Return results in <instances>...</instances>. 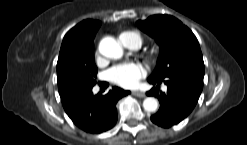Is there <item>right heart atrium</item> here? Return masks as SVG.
Instances as JSON below:
<instances>
[{
  "instance_id": "obj_1",
  "label": "right heart atrium",
  "mask_w": 247,
  "mask_h": 145,
  "mask_svg": "<svg viewBox=\"0 0 247 145\" xmlns=\"http://www.w3.org/2000/svg\"><path fill=\"white\" fill-rule=\"evenodd\" d=\"M99 58H100V56H99V54H98V52H97V53L95 54V59H96V61H98Z\"/></svg>"
}]
</instances>
